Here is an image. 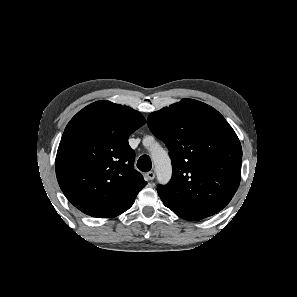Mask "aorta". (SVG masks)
<instances>
[{
  "instance_id": "762f6f07",
  "label": "aorta",
  "mask_w": 297,
  "mask_h": 297,
  "mask_svg": "<svg viewBox=\"0 0 297 297\" xmlns=\"http://www.w3.org/2000/svg\"><path fill=\"white\" fill-rule=\"evenodd\" d=\"M147 141L154 142L152 137H148ZM156 148L151 150V160L155 166L156 175L159 183L167 184L172 175V165L170 157L166 150H164L159 144H156Z\"/></svg>"
}]
</instances>
